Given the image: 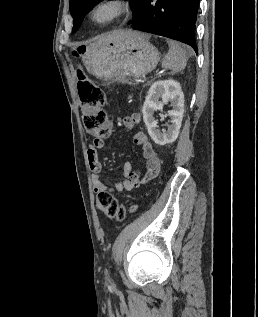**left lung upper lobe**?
I'll return each mask as SVG.
<instances>
[{
    "label": "left lung upper lobe",
    "mask_w": 258,
    "mask_h": 317,
    "mask_svg": "<svg viewBox=\"0 0 258 317\" xmlns=\"http://www.w3.org/2000/svg\"><path fill=\"white\" fill-rule=\"evenodd\" d=\"M101 0H70V12L74 20L72 32H76L80 27L86 14ZM143 0H130L134 16L137 14L140 4Z\"/></svg>",
    "instance_id": "left-lung-upper-lobe-1"
}]
</instances>
